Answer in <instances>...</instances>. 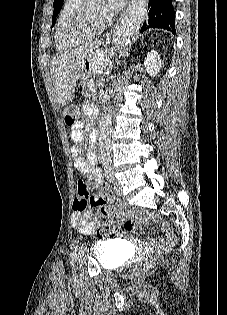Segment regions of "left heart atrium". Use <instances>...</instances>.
I'll return each instance as SVG.
<instances>
[{"instance_id": "obj_1", "label": "left heart atrium", "mask_w": 227, "mask_h": 315, "mask_svg": "<svg viewBox=\"0 0 227 315\" xmlns=\"http://www.w3.org/2000/svg\"><path fill=\"white\" fill-rule=\"evenodd\" d=\"M127 0H102L100 13L105 22L114 18L126 5Z\"/></svg>"}]
</instances>
